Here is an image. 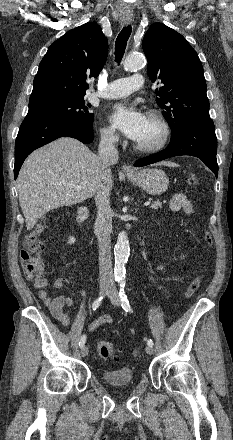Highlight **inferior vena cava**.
I'll return each mask as SVG.
<instances>
[{
	"label": "inferior vena cava",
	"instance_id": "obj_1",
	"mask_svg": "<svg viewBox=\"0 0 233 440\" xmlns=\"http://www.w3.org/2000/svg\"><path fill=\"white\" fill-rule=\"evenodd\" d=\"M117 138L113 133L101 136L98 154L103 163V168L109 170L110 165L118 162V151L114 145ZM97 217L94 225V233L99 244V275L100 283L113 285V269L111 262V232H112V209L110 207V188L106 185L95 196Z\"/></svg>",
	"mask_w": 233,
	"mask_h": 440
}]
</instances>
